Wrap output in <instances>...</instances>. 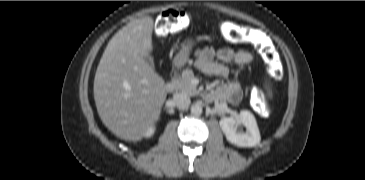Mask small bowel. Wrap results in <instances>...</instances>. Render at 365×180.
<instances>
[{"instance_id": "small-bowel-1", "label": "small bowel", "mask_w": 365, "mask_h": 180, "mask_svg": "<svg viewBox=\"0 0 365 180\" xmlns=\"http://www.w3.org/2000/svg\"><path fill=\"white\" fill-rule=\"evenodd\" d=\"M195 58L196 66L202 73L219 78L228 77L227 65L245 66L253 61V55L250 52L231 48L220 49L217 53L211 47L200 48L195 51ZM216 58L219 61H216ZM214 95L220 99L237 102L242 96L241 86L239 82L231 81L218 86Z\"/></svg>"}]
</instances>
